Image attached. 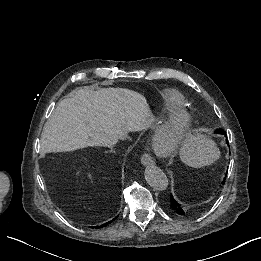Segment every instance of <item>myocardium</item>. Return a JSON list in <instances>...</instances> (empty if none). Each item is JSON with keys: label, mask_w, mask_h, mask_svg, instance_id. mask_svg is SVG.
Wrapping results in <instances>:
<instances>
[{"label": "myocardium", "mask_w": 261, "mask_h": 261, "mask_svg": "<svg viewBox=\"0 0 261 261\" xmlns=\"http://www.w3.org/2000/svg\"><path fill=\"white\" fill-rule=\"evenodd\" d=\"M173 120L179 121L178 142L168 149L153 148L150 145V138L156 127L163 122ZM192 123V114L186 109H173L160 114H155L145 121V125L142 129V138L147 144L148 150L153 155L160 158H175L184 150L186 146Z\"/></svg>", "instance_id": "obj_1"}]
</instances>
